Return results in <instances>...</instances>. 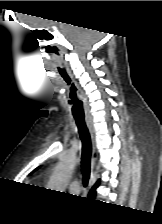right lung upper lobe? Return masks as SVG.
<instances>
[{"label": "right lung upper lobe", "mask_w": 162, "mask_h": 224, "mask_svg": "<svg viewBox=\"0 0 162 224\" xmlns=\"http://www.w3.org/2000/svg\"><path fill=\"white\" fill-rule=\"evenodd\" d=\"M98 184H99V181L94 185V187L92 188V190H91V193L90 194H92V195H94L95 194V188L98 186Z\"/></svg>", "instance_id": "1"}]
</instances>
